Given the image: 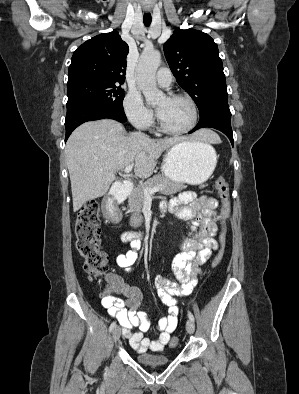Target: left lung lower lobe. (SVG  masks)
Wrapping results in <instances>:
<instances>
[{
    "mask_svg": "<svg viewBox=\"0 0 299 394\" xmlns=\"http://www.w3.org/2000/svg\"><path fill=\"white\" fill-rule=\"evenodd\" d=\"M205 127L220 130L227 135L232 146L234 145L231 128V112L228 104L213 106L206 113L200 115V121L198 122L197 126L189 133H193L194 131Z\"/></svg>",
    "mask_w": 299,
    "mask_h": 394,
    "instance_id": "left-lung-lower-lobe-1",
    "label": "left lung lower lobe"
}]
</instances>
